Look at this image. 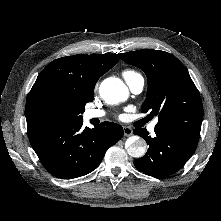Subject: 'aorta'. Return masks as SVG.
<instances>
[{
  "label": "aorta",
  "mask_w": 221,
  "mask_h": 221,
  "mask_svg": "<svg viewBox=\"0 0 221 221\" xmlns=\"http://www.w3.org/2000/svg\"><path fill=\"white\" fill-rule=\"evenodd\" d=\"M100 97L107 104H117L128 98V88L118 78H107L99 87ZM127 153L134 158H141L146 153V142L140 137H131L126 143Z\"/></svg>",
  "instance_id": "762f6f07"
}]
</instances>
